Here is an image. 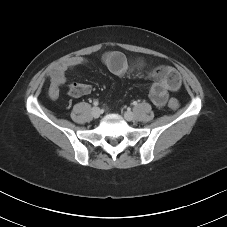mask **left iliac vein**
Masks as SVG:
<instances>
[{
	"label": "left iliac vein",
	"instance_id": "left-iliac-vein-1",
	"mask_svg": "<svg viewBox=\"0 0 227 227\" xmlns=\"http://www.w3.org/2000/svg\"><path fill=\"white\" fill-rule=\"evenodd\" d=\"M124 118H125L127 121H132V120H134L135 115H134V113L131 112V111H126V112L124 113Z\"/></svg>",
	"mask_w": 227,
	"mask_h": 227
}]
</instances>
